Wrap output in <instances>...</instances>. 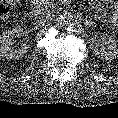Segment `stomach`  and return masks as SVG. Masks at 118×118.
Segmentation results:
<instances>
[{"label":"stomach","mask_w":118,"mask_h":118,"mask_svg":"<svg viewBox=\"0 0 118 118\" xmlns=\"http://www.w3.org/2000/svg\"><path fill=\"white\" fill-rule=\"evenodd\" d=\"M103 4H112L114 0H100ZM116 6L118 7V1L116 3Z\"/></svg>","instance_id":"stomach-1"}]
</instances>
